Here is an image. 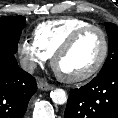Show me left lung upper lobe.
Segmentation results:
<instances>
[{
  "mask_svg": "<svg viewBox=\"0 0 118 118\" xmlns=\"http://www.w3.org/2000/svg\"><path fill=\"white\" fill-rule=\"evenodd\" d=\"M105 26L109 39V52L98 75L118 69V26L109 22Z\"/></svg>",
  "mask_w": 118,
  "mask_h": 118,
  "instance_id": "1",
  "label": "left lung upper lobe"
}]
</instances>
